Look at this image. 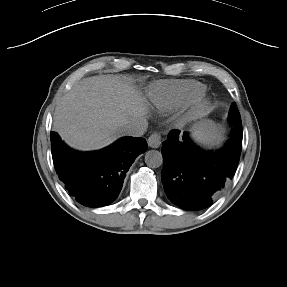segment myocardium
<instances>
[{"label":"myocardium","instance_id":"f54148a6","mask_svg":"<svg viewBox=\"0 0 287 287\" xmlns=\"http://www.w3.org/2000/svg\"><path fill=\"white\" fill-rule=\"evenodd\" d=\"M208 105L209 101L205 97V95L204 94L199 95L191 102L189 115L191 117H197L201 115L207 109Z\"/></svg>","mask_w":287,"mask_h":287}]
</instances>
